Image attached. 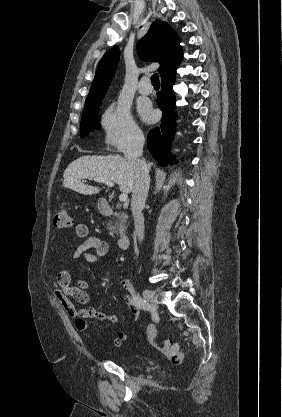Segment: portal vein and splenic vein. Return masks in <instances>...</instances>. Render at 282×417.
I'll use <instances>...</instances> for the list:
<instances>
[{
  "mask_svg": "<svg viewBox=\"0 0 282 417\" xmlns=\"http://www.w3.org/2000/svg\"><path fill=\"white\" fill-rule=\"evenodd\" d=\"M94 180L95 182H104V184H107V186H114V182H111V180H106V178H94ZM127 198V192H122V194H120L119 196V200H122V202H124V200H127Z\"/></svg>",
  "mask_w": 282,
  "mask_h": 417,
  "instance_id": "1",
  "label": "portal vein and splenic vein"
}]
</instances>
